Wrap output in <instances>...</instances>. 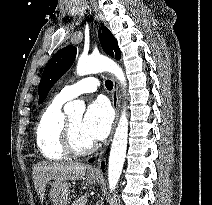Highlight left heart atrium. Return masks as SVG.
<instances>
[{
  "instance_id": "left-heart-atrium-1",
  "label": "left heart atrium",
  "mask_w": 212,
  "mask_h": 205,
  "mask_svg": "<svg viewBox=\"0 0 212 205\" xmlns=\"http://www.w3.org/2000/svg\"><path fill=\"white\" fill-rule=\"evenodd\" d=\"M112 119L109 105L103 100H97L86 110L82 119V131L91 142L102 140L110 131Z\"/></svg>"
}]
</instances>
